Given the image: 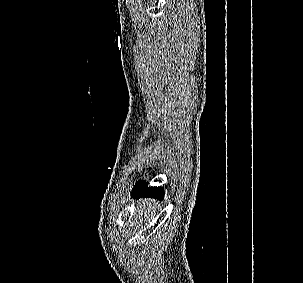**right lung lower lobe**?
Returning a JSON list of instances; mask_svg holds the SVG:
<instances>
[{"label":"right lung lower lobe","instance_id":"obj_1","mask_svg":"<svg viewBox=\"0 0 303 283\" xmlns=\"http://www.w3.org/2000/svg\"><path fill=\"white\" fill-rule=\"evenodd\" d=\"M132 195L135 197L144 196L161 199L163 198V190L161 187H148V183L140 181L139 183H136L132 190Z\"/></svg>","mask_w":303,"mask_h":283}]
</instances>
